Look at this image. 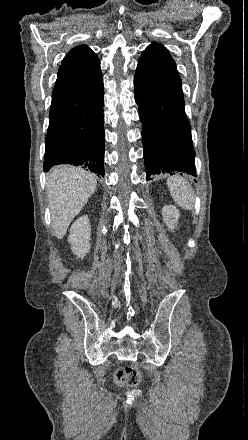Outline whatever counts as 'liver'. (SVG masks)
Wrapping results in <instances>:
<instances>
[{"mask_svg": "<svg viewBox=\"0 0 248 440\" xmlns=\"http://www.w3.org/2000/svg\"><path fill=\"white\" fill-rule=\"evenodd\" d=\"M96 177L69 165L57 166L47 177L48 201L52 227L57 239H62L72 220L94 193Z\"/></svg>", "mask_w": 248, "mask_h": 440, "instance_id": "obj_1", "label": "liver"}]
</instances>
